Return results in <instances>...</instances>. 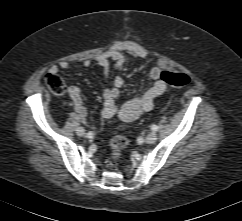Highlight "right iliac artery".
<instances>
[{
    "instance_id": "1",
    "label": "right iliac artery",
    "mask_w": 242,
    "mask_h": 221,
    "mask_svg": "<svg viewBox=\"0 0 242 221\" xmlns=\"http://www.w3.org/2000/svg\"><path fill=\"white\" fill-rule=\"evenodd\" d=\"M92 135H93V133H92V132H89V133L87 134V137H88V138H91Z\"/></svg>"
}]
</instances>
